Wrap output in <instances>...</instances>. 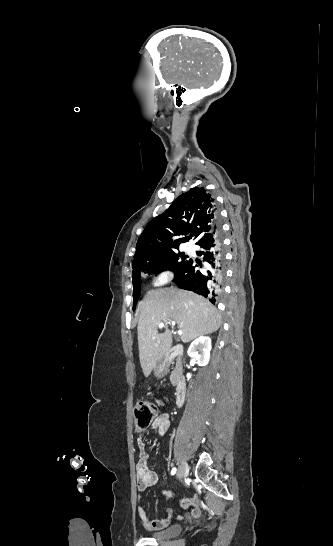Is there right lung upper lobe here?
<instances>
[{
    "label": "right lung upper lobe",
    "mask_w": 333,
    "mask_h": 546,
    "mask_svg": "<svg viewBox=\"0 0 333 546\" xmlns=\"http://www.w3.org/2000/svg\"><path fill=\"white\" fill-rule=\"evenodd\" d=\"M214 199L204 188H193L181 194L162 214L151 220L140 235L132 262V276L156 267L163 255L179 249L185 238L172 240L175 235L194 236L197 242L216 226Z\"/></svg>",
    "instance_id": "obj_1"
}]
</instances>
